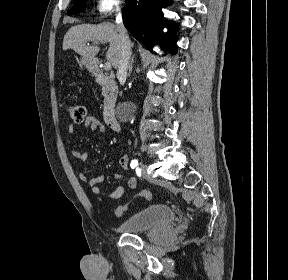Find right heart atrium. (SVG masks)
<instances>
[{"instance_id": "d8ad5b80", "label": "right heart atrium", "mask_w": 288, "mask_h": 280, "mask_svg": "<svg viewBox=\"0 0 288 280\" xmlns=\"http://www.w3.org/2000/svg\"><path fill=\"white\" fill-rule=\"evenodd\" d=\"M122 0H96L94 12L99 18H105L121 6Z\"/></svg>"}]
</instances>
